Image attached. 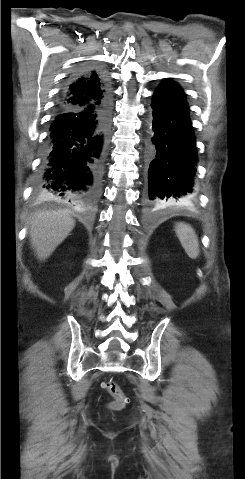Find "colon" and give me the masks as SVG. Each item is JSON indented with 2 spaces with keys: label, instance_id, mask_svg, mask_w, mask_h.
Returning a JSON list of instances; mask_svg holds the SVG:
<instances>
[{
  "label": "colon",
  "instance_id": "colon-1",
  "mask_svg": "<svg viewBox=\"0 0 245 479\" xmlns=\"http://www.w3.org/2000/svg\"><path fill=\"white\" fill-rule=\"evenodd\" d=\"M104 387L114 398V401L110 404V408L112 410L122 409L127 403V398L118 386V384L112 380H107L104 383Z\"/></svg>",
  "mask_w": 245,
  "mask_h": 479
}]
</instances>
